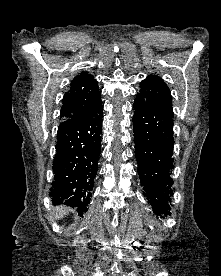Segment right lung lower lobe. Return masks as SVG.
I'll return each instance as SVG.
<instances>
[{
  "label": "right lung lower lobe",
  "instance_id": "98d812e1",
  "mask_svg": "<svg viewBox=\"0 0 221 276\" xmlns=\"http://www.w3.org/2000/svg\"><path fill=\"white\" fill-rule=\"evenodd\" d=\"M102 117L100 101L87 115L58 127L50 195L55 205L75 207L80 215L87 211L97 173Z\"/></svg>",
  "mask_w": 221,
  "mask_h": 276
}]
</instances>
